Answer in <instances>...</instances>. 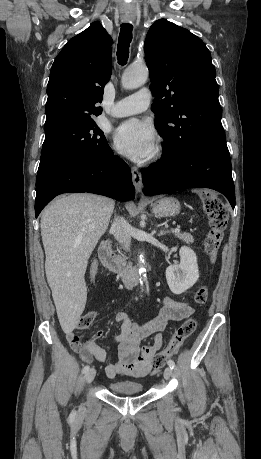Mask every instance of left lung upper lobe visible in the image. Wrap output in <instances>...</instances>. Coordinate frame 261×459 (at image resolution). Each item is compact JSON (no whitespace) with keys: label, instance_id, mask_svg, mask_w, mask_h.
<instances>
[{"label":"left lung upper lobe","instance_id":"left-lung-upper-lobe-1","mask_svg":"<svg viewBox=\"0 0 261 459\" xmlns=\"http://www.w3.org/2000/svg\"><path fill=\"white\" fill-rule=\"evenodd\" d=\"M144 50L150 89L163 98L152 105L163 147L181 154L199 143L226 139L216 70L203 41L161 19L150 27Z\"/></svg>","mask_w":261,"mask_h":459}]
</instances>
